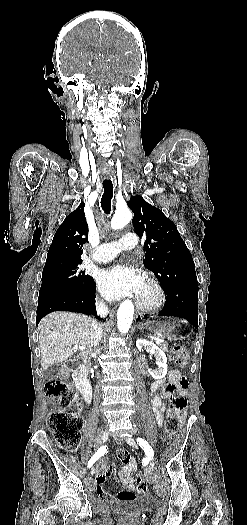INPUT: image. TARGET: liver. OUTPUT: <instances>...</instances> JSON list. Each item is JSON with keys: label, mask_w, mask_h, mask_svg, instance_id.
<instances>
[{"label": "liver", "mask_w": 247, "mask_h": 525, "mask_svg": "<svg viewBox=\"0 0 247 525\" xmlns=\"http://www.w3.org/2000/svg\"><path fill=\"white\" fill-rule=\"evenodd\" d=\"M95 325V319L79 313L55 311L43 317L38 325L43 371L55 363L88 357L93 347ZM76 347H85V351L76 353Z\"/></svg>", "instance_id": "obj_1"}]
</instances>
